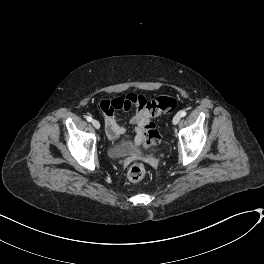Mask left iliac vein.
I'll use <instances>...</instances> for the list:
<instances>
[{
    "label": "left iliac vein",
    "mask_w": 264,
    "mask_h": 264,
    "mask_svg": "<svg viewBox=\"0 0 264 264\" xmlns=\"http://www.w3.org/2000/svg\"><path fill=\"white\" fill-rule=\"evenodd\" d=\"M180 119H181V116H180L179 113H177V114L173 117V120H172L173 124H174V125L178 124L179 121H180Z\"/></svg>",
    "instance_id": "1"
}]
</instances>
